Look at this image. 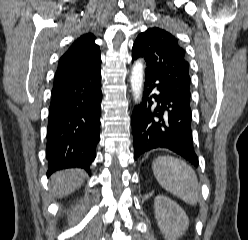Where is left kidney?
I'll return each instance as SVG.
<instances>
[{
	"label": "left kidney",
	"instance_id": "left-kidney-1",
	"mask_svg": "<svg viewBox=\"0 0 248 240\" xmlns=\"http://www.w3.org/2000/svg\"><path fill=\"white\" fill-rule=\"evenodd\" d=\"M155 217L166 240H176L189 227L185 211L173 200L157 195L154 199Z\"/></svg>",
	"mask_w": 248,
	"mask_h": 240
}]
</instances>
